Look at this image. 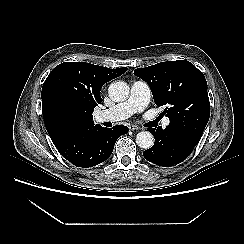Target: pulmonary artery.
<instances>
[{
	"label": "pulmonary artery",
	"mask_w": 244,
	"mask_h": 244,
	"mask_svg": "<svg viewBox=\"0 0 244 244\" xmlns=\"http://www.w3.org/2000/svg\"><path fill=\"white\" fill-rule=\"evenodd\" d=\"M151 91L143 81H135L131 85L130 95L127 100L97 114L99 121H118L143 111L150 101ZM169 119L164 118L163 125L169 124Z\"/></svg>",
	"instance_id": "e3ab8cb5"
}]
</instances>
